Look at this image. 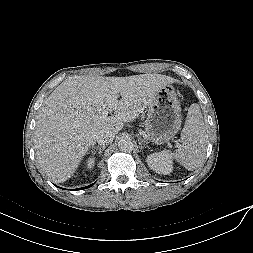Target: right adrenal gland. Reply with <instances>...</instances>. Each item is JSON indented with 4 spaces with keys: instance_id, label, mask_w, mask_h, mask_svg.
Returning <instances> with one entry per match:
<instances>
[{
    "instance_id": "right-adrenal-gland-1",
    "label": "right adrenal gland",
    "mask_w": 253,
    "mask_h": 253,
    "mask_svg": "<svg viewBox=\"0 0 253 253\" xmlns=\"http://www.w3.org/2000/svg\"><path fill=\"white\" fill-rule=\"evenodd\" d=\"M91 148L98 150L99 155H101L102 151L105 149V146H95V145H92Z\"/></svg>"
}]
</instances>
